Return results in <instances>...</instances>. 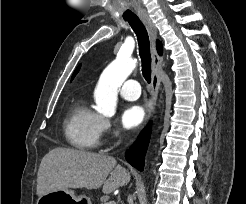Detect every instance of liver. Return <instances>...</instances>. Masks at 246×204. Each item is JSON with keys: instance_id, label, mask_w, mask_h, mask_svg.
Returning a JSON list of instances; mask_svg holds the SVG:
<instances>
[{"instance_id": "1", "label": "liver", "mask_w": 246, "mask_h": 204, "mask_svg": "<svg viewBox=\"0 0 246 204\" xmlns=\"http://www.w3.org/2000/svg\"><path fill=\"white\" fill-rule=\"evenodd\" d=\"M130 173L114 157L57 147L41 160L37 175V195L52 191L98 189L106 194L130 181Z\"/></svg>"}]
</instances>
